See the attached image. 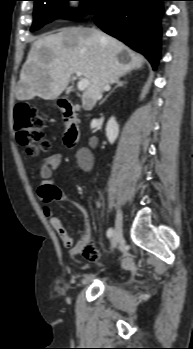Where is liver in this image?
Listing matches in <instances>:
<instances>
[{
    "instance_id": "6515ba94",
    "label": "liver",
    "mask_w": 193,
    "mask_h": 349,
    "mask_svg": "<svg viewBox=\"0 0 193 349\" xmlns=\"http://www.w3.org/2000/svg\"><path fill=\"white\" fill-rule=\"evenodd\" d=\"M123 52L131 57L129 62L120 61ZM142 66L141 57L95 28H63L34 41L20 73L16 98L56 99L67 88L71 75L80 72L90 81L82 105L91 110L110 84Z\"/></svg>"
}]
</instances>
